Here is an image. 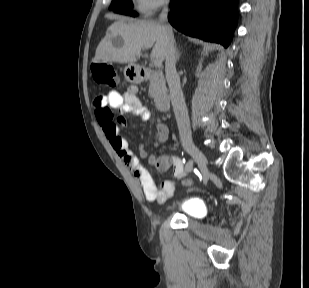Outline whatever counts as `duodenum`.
Wrapping results in <instances>:
<instances>
[{
  "label": "duodenum",
  "instance_id": "obj_1",
  "mask_svg": "<svg viewBox=\"0 0 309 288\" xmlns=\"http://www.w3.org/2000/svg\"><path fill=\"white\" fill-rule=\"evenodd\" d=\"M147 70L145 69H141L140 71V77L142 79L146 78L147 77ZM158 105H159V108L162 110V111H167L169 106H170V98L169 96L167 95H164L162 97L159 98L158 100Z\"/></svg>",
  "mask_w": 309,
  "mask_h": 288
}]
</instances>
